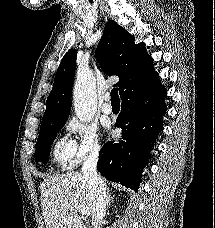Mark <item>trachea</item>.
<instances>
[{
	"label": "trachea",
	"instance_id": "3493384b",
	"mask_svg": "<svg viewBox=\"0 0 215 228\" xmlns=\"http://www.w3.org/2000/svg\"><path fill=\"white\" fill-rule=\"evenodd\" d=\"M111 103L112 104L120 103V99H119L118 89L117 88H113L111 90Z\"/></svg>",
	"mask_w": 215,
	"mask_h": 228
}]
</instances>
